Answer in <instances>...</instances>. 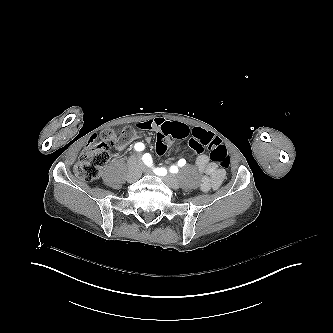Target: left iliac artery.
<instances>
[{"instance_id": "1", "label": "left iliac artery", "mask_w": 333, "mask_h": 333, "mask_svg": "<svg viewBox=\"0 0 333 333\" xmlns=\"http://www.w3.org/2000/svg\"><path fill=\"white\" fill-rule=\"evenodd\" d=\"M142 160L149 167H151L153 165L152 157L148 153H146V154L143 155ZM185 164H186V161L184 159H180L178 161V165L180 167L184 166ZM172 170H173V166L171 167V171ZM153 171L155 172V174H157L159 176H164L167 173V171H166L165 168H154Z\"/></svg>"}]
</instances>
